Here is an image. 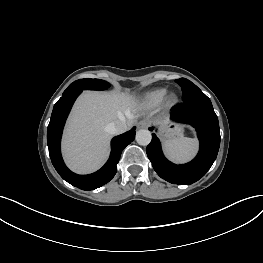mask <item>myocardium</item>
I'll return each mask as SVG.
<instances>
[{"mask_svg":"<svg viewBox=\"0 0 263 263\" xmlns=\"http://www.w3.org/2000/svg\"><path fill=\"white\" fill-rule=\"evenodd\" d=\"M177 101H178L177 95L174 93H171L165 99V106L171 107V106L175 105L177 103Z\"/></svg>","mask_w":263,"mask_h":263,"instance_id":"f54148a6","label":"myocardium"}]
</instances>
